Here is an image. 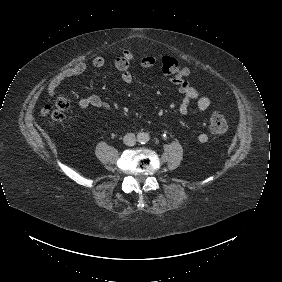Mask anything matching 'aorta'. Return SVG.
Here are the masks:
<instances>
[{"instance_id": "762f6f07", "label": "aorta", "mask_w": 282, "mask_h": 282, "mask_svg": "<svg viewBox=\"0 0 282 282\" xmlns=\"http://www.w3.org/2000/svg\"><path fill=\"white\" fill-rule=\"evenodd\" d=\"M150 140V135L146 132H139L137 134V141L140 144H147Z\"/></svg>"}]
</instances>
